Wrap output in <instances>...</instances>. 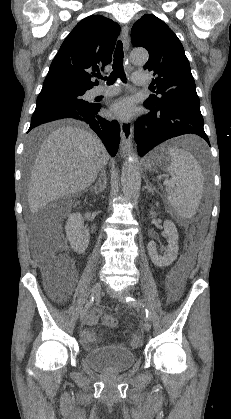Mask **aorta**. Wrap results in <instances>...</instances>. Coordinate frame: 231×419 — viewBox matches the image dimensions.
I'll use <instances>...</instances> for the list:
<instances>
[{
	"label": "aorta",
	"instance_id": "obj_1",
	"mask_svg": "<svg viewBox=\"0 0 231 419\" xmlns=\"http://www.w3.org/2000/svg\"><path fill=\"white\" fill-rule=\"evenodd\" d=\"M130 58L133 64L143 65L149 55L145 49H134ZM140 183L139 159L135 152H130L122 167L121 186L126 197H132Z\"/></svg>",
	"mask_w": 231,
	"mask_h": 419
}]
</instances>
